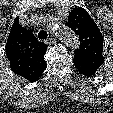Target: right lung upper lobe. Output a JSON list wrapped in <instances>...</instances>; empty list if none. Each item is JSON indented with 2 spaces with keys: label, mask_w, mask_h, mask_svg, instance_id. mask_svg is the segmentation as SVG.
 Here are the masks:
<instances>
[{
  "label": "right lung upper lobe",
  "mask_w": 113,
  "mask_h": 113,
  "mask_svg": "<svg viewBox=\"0 0 113 113\" xmlns=\"http://www.w3.org/2000/svg\"><path fill=\"white\" fill-rule=\"evenodd\" d=\"M46 50L47 46L39 42L30 30L23 28L17 17L5 47L11 70L30 82H36L47 67L44 60Z\"/></svg>",
  "instance_id": "1"
}]
</instances>
